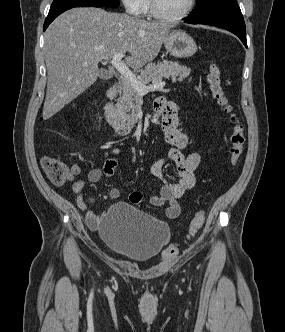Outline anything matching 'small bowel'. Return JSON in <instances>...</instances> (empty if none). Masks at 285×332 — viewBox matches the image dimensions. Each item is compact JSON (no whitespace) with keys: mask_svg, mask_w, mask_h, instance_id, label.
<instances>
[{"mask_svg":"<svg viewBox=\"0 0 285 332\" xmlns=\"http://www.w3.org/2000/svg\"><path fill=\"white\" fill-rule=\"evenodd\" d=\"M160 115L162 116V130L165 141L170 144L172 148L165 156L154 161L150 167L151 174L162 182L159 191L150 197V204L155 207L166 205V216L170 219H174L178 217L181 212L178 200L195 186V170L200 163V155L198 153L186 155L183 152L187 146L188 138L179 129L175 106L172 103L166 102V107ZM120 153V148H111L106 153L103 167L94 168L89 171L87 176L88 181L96 183L103 178L112 177L118 165ZM168 161L172 162L176 167L179 177L176 182H171L164 176V167ZM70 170L74 176H78L81 173V168L77 163H73L70 166ZM84 186L85 181L83 179H76L72 184V190L77 194L76 203L78 208L82 211H86L87 225L91 229H97L102 216L90 210L91 199L87 198L83 193ZM109 197L111 199H118L120 197L119 189L111 188L109 190ZM129 199L133 204H141L143 201L141 193L137 191L132 192Z\"/></svg>","mask_w":285,"mask_h":332,"instance_id":"small-bowel-1","label":"small bowel"}]
</instances>
